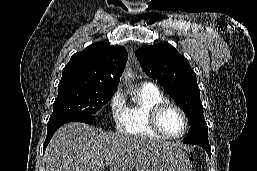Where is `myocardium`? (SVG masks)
<instances>
[{
	"label": "myocardium",
	"mask_w": 257,
	"mask_h": 171,
	"mask_svg": "<svg viewBox=\"0 0 257 171\" xmlns=\"http://www.w3.org/2000/svg\"><path fill=\"white\" fill-rule=\"evenodd\" d=\"M167 108L176 109L180 113V115L183 119L184 129H183L182 133L177 136H172V135L167 134L160 125V117ZM149 124H150L151 129L154 132L161 135L165 139H171V140H176V139L182 138L189 129V120H188V117H187V114L185 113V111L178 104L168 101V100L155 105L151 109L150 117H149Z\"/></svg>",
	"instance_id": "myocardium-1"
}]
</instances>
